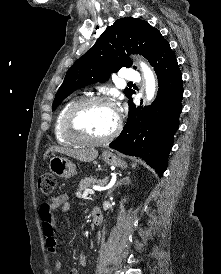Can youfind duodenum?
<instances>
[{"label": "duodenum", "mask_w": 221, "mask_h": 274, "mask_svg": "<svg viewBox=\"0 0 221 274\" xmlns=\"http://www.w3.org/2000/svg\"><path fill=\"white\" fill-rule=\"evenodd\" d=\"M92 220L94 227H98L102 224L103 215L99 207H94L92 210Z\"/></svg>", "instance_id": "duodenum-1"}]
</instances>
